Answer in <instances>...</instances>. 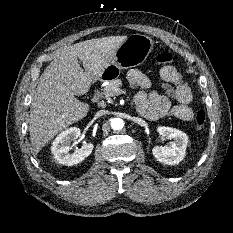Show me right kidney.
Wrapping results in <instances>:
<instances>
[{"label": "right kidney", "mask_w": 233, "mask_h": 233, "mask_svg": "<svg viewBox=\"0 0 233 233\" xmlns=\"http://www.w3.org/2000/svg\"><path fill=\"white\" fill-rule=\"evenodd\" d=\"M80 129L71 127L61 132L53 141L51 151L54 158L63 165L72 166L82 162L88 157L94 148L92 143H85L80 149H76L70 153V142L76 140L80 136Z\"/></svg>", "instance_id": "obj_1"}]
</instances>
